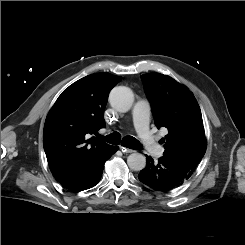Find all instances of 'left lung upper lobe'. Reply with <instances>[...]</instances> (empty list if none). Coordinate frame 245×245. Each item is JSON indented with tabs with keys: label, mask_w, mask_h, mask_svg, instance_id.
<instances>
[{
	"label": "left lung upper lobe",
	"mask_w": 245,
	"mask_h": 245,
	"mask_svg": "<svg viewBox=\"0 0 245 245\" xmlns=\"http://www.w3.org/2000/svg\"><path fill=\"white\" fill-rule=\"evenodd\" d=\"M152 105L157 128L168 134L163 156L196 169L206 152V136L200 107L190 90L173 78L159 73L141 76Z\"/></svg>",
	"instance_id": "obj_1"
}]
</instances>
